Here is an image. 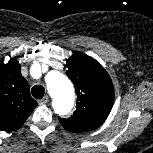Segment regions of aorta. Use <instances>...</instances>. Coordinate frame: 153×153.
I'll use <instances>...</instances> for the list:
<instances>
[{
	"mask_svg": "<svg viewBox=\"0 0 153 153\" xmlns=\"http://www.w3.org/2000/svg\"><path fill=\"white\" fill-rule=\"evenodd\" d=\"M46 84L53 97V107L57 113H68L74 104V88L70 80L58 71L46 75Z\"/></svg>",
	"mask_w": 153,
	"mask_h": 153,
	"instance_id": "obj_1",
	"label": "aorta"
}]
</instances>
